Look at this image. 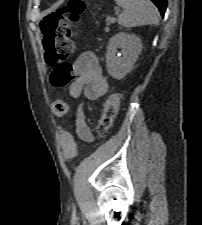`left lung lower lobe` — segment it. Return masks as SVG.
I'll return each instance as SVG.
<instances>
[{
	"label": "left lung lower lobe",
	"mask_w": 202,
	"mask_h": 225,
	"mask_svg": "<svg viewBox=\"0 0 202 225\" xmlns=\"http://www.w3.org/2000/svg\"><path fill=\"white\" fill-rule=\"evenodd\" d=\"M160 10L161 15L163 16L167 7V0H151Z\"/></svg>",
	"instance_id": "1"
}]
</instances>
